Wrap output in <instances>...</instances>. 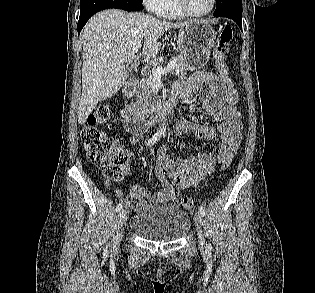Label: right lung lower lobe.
I'll list each match as a JSON object with an SVG mask.
<instances>
[{"instance_id":"98d812e1","label":"right lung lower lobe","mask_w":315,"mask_h":293,"mask_svg":"<svg viewBox=\"0 0 315 293\" xmlns=\"http://www.w3.org/2000/svg\"><path fill=\"white\" fill-rule=\"evenodd\" d=\"M108 8L138 11L143 9V5L141 0H80L78 34L92 15Z\"/></svg>"}]
</instances>
